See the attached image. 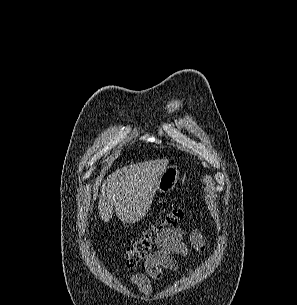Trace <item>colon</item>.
<instances>
[{"instance_id":"5ec220e1","label":"colon","mask_w":297,"mask_h":305,"mask_svg":"<svg viewBox=\"0 0 297 305\" xmlns=\"http://www.w3.org/2000/svg\"><path fill=\"white\" fill-rule=\"evenodd\" d=\"M184 215L185 209L180 206L167 207L161 218L145 228L129 244L126 250L127 266L134 267L138 262L148 257L152 252V247L158 234L182 220Z\"/></svg>"}]
</instances>
